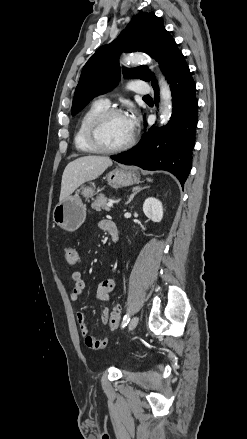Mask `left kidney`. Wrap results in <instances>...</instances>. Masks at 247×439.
Returning a JSON list of instances; mask_svg holds the SVG:
<instances>
[{"label":"left kidney","instance_id":"obj_1","mask_svg":"<svg viewBox=\"0 0 247 439\" xmlns=\"http://www.w3.org/2000/svg\"><path fill=\"white\" fill-rule=\"evenodd\" d=\"M143 212L153 222H160L163 218V206L160 200L149 197L143 204Z\"/></svg>","mask_w":247,"mask_h":439}]
</instances>
